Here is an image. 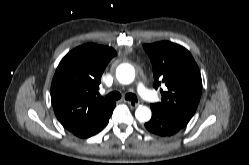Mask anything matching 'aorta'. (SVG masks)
<instances>
[{
  "label": "aorta",
  "instance_id": "aorta-1",
  "mask_svg": "<svg viewBox=\"0 0 249 165\" xmlns=\"http://www.w3.org/2000/svg\"><path fill=\"white\" fill-rule=\"evenodd\" d=\"M116 77L122 84H130L135 78V70L132 66H119L116 70ZM138 121L146 122L151 118V111L146 106H139L135 111Z\"/></svg>",
  "mask_w": 249,
  "mask_h": 165
}]
</instances>
